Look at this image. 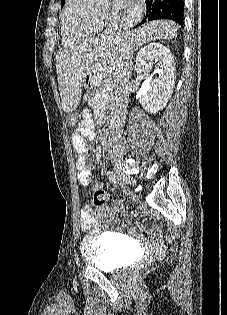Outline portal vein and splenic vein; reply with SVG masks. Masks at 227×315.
Listing matches in <instances>:
<instances>
[{
  "label": "portal vein and splenic vein",
  "mask_w": 227,
  "mask_h": 315,
  "mask_svg": "<svg viewBox=\"0 0 227 315\" xmlns=\"http://www.w3.org/2000/svg\"><path fill=\"white\" fill-rule=\"evenodd\" d=\"M101 77H99V81H101ZM98 84V83H97ZM99 85V84H98ZM110 91H112V88L111 87H106V88H104V89H102L99 93H97L96 94V97H97V99L99 100V99H101V98H106V97H108V93L110 92ZM97 100V101H98Z\"/></svg>",
  "instance_id": "18ae733b"
}]
</instances>
